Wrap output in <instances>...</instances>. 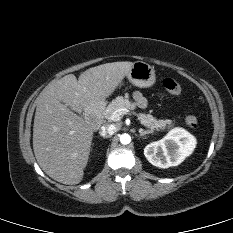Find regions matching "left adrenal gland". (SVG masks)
<instances>
[{
  "label": "left adrenal gland",
  "instance_id": "left-adrenal-gland-1",
  "mask_svg": "<svg viewBox=\"0 0 233 233\" xmlns=\"http://www.w3.org/2000/svg\"><path fill=\"white\" fill-rule=\"evenodd\" d=\"M139 133H140V136H145L146 134H150L151 132L148 131V130H143V129H139Z\"/></svg>",
  "mask_w": 233,
  "mask_h": 233
}]
</instances>
